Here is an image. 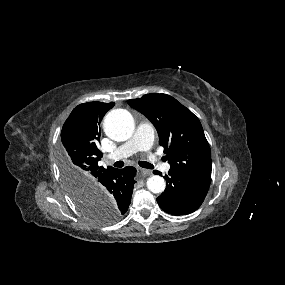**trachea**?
I'll use <instances>...</instances> for the list:
<instances>
[{
	"label": "trachea",
	"instance_id": "1",
	"mask_svg": "<svg viewBox=\"0 0 285 285\" xmlns=\"http://www.w3.org/2000/svg\"><path fill=\"white\" fill-rule=\"evenodd\" d=\"M139 166L143 167V168H147V169H152L153 168V165L149 162H146V161H139L138 162ZM114 166L115 167H118V168H121L124 166V162L123 161H116L114 163Z\"/></svg>",
	"mask_w": 285,
	"mask_h": 285
}]
</instances>
